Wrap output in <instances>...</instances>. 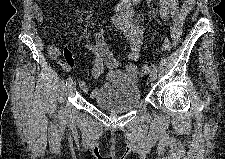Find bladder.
<instances>
[{
  "label": "bladder",
  "instance_id": "bladder-1",
  "mask_svg": "<svg viewBox=\"0 0 225 159\" xmlns=\"http://www.w3.org/2000/svg\"><path fill=\"white\" fill-rule=\"evenodd\" d=\"M93 102L100 108L121 114L140 104L141 93L134 82L112 81L95 92Z\"/></svg>",
  "mask_w": 225,
  "mask_h": 159
}]
</instances>
